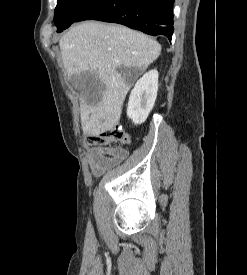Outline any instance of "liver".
<instances>
[{
	"mask_svg": "<svg viewBox=\"0 0 247 275\" xmlns=\"http://www.w3.org/2000/svg\"><path fill=\"white\" fill-rule=\"evenodd\" d=\"M59 46L68 78L88 72L104 85L98 94L80 101L82 129L90 136H99L119 123L131 87L119 69L145 70L161 52L160 44L143 33L95 21L70 29Z\"/></svg>",
	"mask_w": 247,
	"mask_h": 275,
	"instance_id": "1",
	"label": "liver"
}]
</instances>
